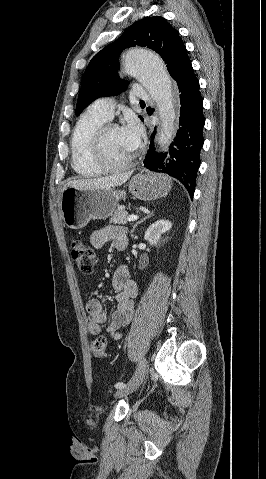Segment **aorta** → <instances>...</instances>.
<instances>
[{"label":"aorta","instance_id":"762f6f07","mask_svg":"<svg viewBox=\"0 0 266 479\" xmlns=\"http://www.w3.org/2000/svg\"><path fill=\"white\" fill-rule=\"evenodd\" d=\"M125 73L138 80L156 101L161 120L158 143L164 146L173 135L175 110L172 101V81L164 63L155 53L134 48L124 57Z\"/></svg>","mask_w":266,"mask_h":479}]
</instances>
